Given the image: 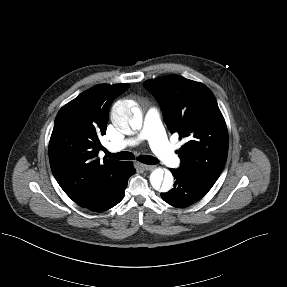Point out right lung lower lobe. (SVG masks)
Masks as SVG:
<instances>
[{
    "instance_id": "1",
    "label": "right lung lower lobe",
    "mask_w": 287,
    "mask_h": 287,
    "mask_svg": "<svg viewBox=\"0 0 287 287\" xmlns=\"http://www.w3.org/2000/svg\"><path fill=\"white\" fill-rule=\"evenodd\" d=\"M136 170L130 162H126L124 172L110 183L93 203L85 206L92 211L102 212L117 205L124 197V191L127 187L128 178L135 174Z\"/></svg>"
}]
</instances>
